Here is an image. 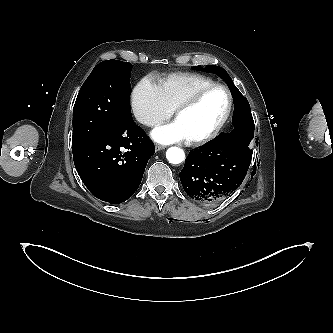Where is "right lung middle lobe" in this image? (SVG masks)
<instances>
[{
	"instance_id": "right-lung-middle-lobe-1",
	"label": "right lung middle lobe",
	"mask_w": 333,
	"mask_h": 333,
	"mask_svg": "<svg viewBox=\"0 0 333 333\" xmlns=\"http://www.w3.org/2000/svg\"><path fill=\"white\" fill-rule=\"evenodd\" d=\"M132 65L107 60L94 67L73 108L72 151L97 139L131 116Z\"/></svg>"
}]
</instances>
